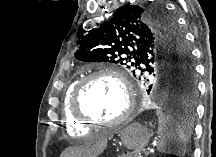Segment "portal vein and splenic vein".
I'll list each match as a JSON object with an SVG mask.
<instances>
[{
	"mask_svg": "<svg viewBox=\"0 0 216 157\" xmlns=\"http://www.w3.org/2000/svg\"><path fill=\"white\" fill-rule=\"evenodd\" d=\"M149 150H150V149H149V148H147L146 152H148V153H149Z\"/></svg>",
	"mask_w": 216,
	"mask_h": 157,
	"instance_id": "18ae733b",
	"label": "portal vein and splenic vein"
}]
</instances>
